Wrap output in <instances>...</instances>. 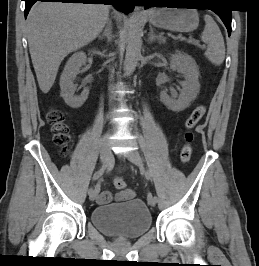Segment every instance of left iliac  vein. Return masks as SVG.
<instances>
[{"label":"left iliac vein","mask_w":259,"mask_h":266,"mask_svg":"<svg viewBox=\"0 0 259 266\" xmlns=\"http://www.w3.org/2000/svg\"><path fill=\"white\" fill-rule=\"evenodd\" d=\"M126 157L133 163L135 164L137 167H139L140 169H143V161H142V158L139 154L138 151L136 150H132L130 152H128L126 154ZM148 204L150 206H155L156 203H155V197H152V198H149L148 199Z\"/></svg>","instance_id":"left-iliac-vein-1"}]
</instances>
